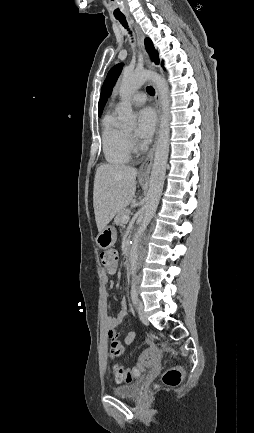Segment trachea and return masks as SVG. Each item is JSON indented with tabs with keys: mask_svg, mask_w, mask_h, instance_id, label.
Returning <instances> with one entry per match:
<instances>
[{
	"mask_svg": "<svg viewBox=\"0 0 254 433\" xmlns=\"http://www.w3.org/2000/svg\"><path fill=\"white\" fill-rule=\"evenodd\" d=\"M119 20V22L124 26V28L128 29V24L125 18H117ZM131 33V32H130ZM147 91L150 95H155V90L153 89V87L148 86L147 87Z\"/></svg>",
	"mask_w": 254,
	"mask_h": 433,
	"instance_id": "3493384b",
	"label": "trachea"
}]
</instances>
